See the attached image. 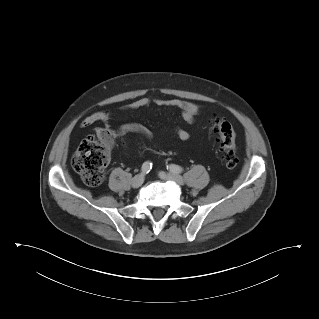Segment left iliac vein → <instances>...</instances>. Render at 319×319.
<instances>
[{
	"label": "left iliac vein",
	"instance_id": "4c4485c4",
	"mask_svg": "<svg viewBox=\"0 0 319 319\" xmlns=\"http://www.w3.org/2000/svg\"><path fill=\"white\" fill-rule=\"evenodd\" d=\"M159 177L164 180H170V181L176 182L179 185L184 184L183 177L173 172H170V173L160 172Z\"/></svg>",
	"mask_w": 319,
	"mask_h": 319
}]
</instances>
